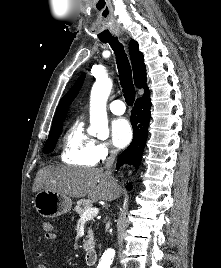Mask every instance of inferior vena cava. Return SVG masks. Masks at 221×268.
<instances>
[{"label":"inferior vena cava","mask_w":221,"mask_h":268,"mask_svg":"<svg viewBox=\"0 0 221 268\" xmlns=\"http://www.w3.org/2000/svg\"><path fill=\"white\" fill-rule=\"evenodd\" d=\"M116 155H117V150H111L110 151V156L108 157L106 163H105V169H106V172L112 176V171H111V167L115 161V158H116Z\"/></svg>","instance_id":"602c4592"}]
</instances>
